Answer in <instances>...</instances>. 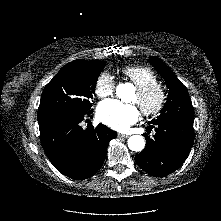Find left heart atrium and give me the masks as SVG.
Listing matches in <instances>:
<instances>
[{"label":"left heart atrium","mask_w":221,"mask_h":221,"mask_svg":"<svg viewBox=\"0 0 221 221\" xmlns=\"http://www.w3.org/2000/svg\"><path fill=\"white\" fill-rule=\"evenodd\" d=\"M100 121L109 127L125 131L139 118V111L133 104H124L116 100H104L97 109Z\"/></svg>","instance_id":"39dd6f15"}]
</instances>
